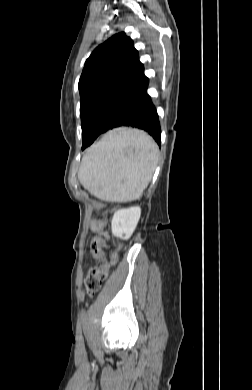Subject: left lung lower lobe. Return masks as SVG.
<instances>
[{
    "label": "left lung lower lobe",
    "mask_w": 252,
    "mask_h": 390,
    "mask_svg": "<svg viewBox=\"0 0 252 390\" xmlns=\"http://www.w3.org/2000/svg\"><path fill=\"white\" fill-rule=\"evenodd\" d=\"M148 83L135 93L115 116L94 119L82 132V150L90 146L94 140L108 129L116 127H135L148 132L157 142L161 143V129L156 107L147 94Z\"/></svg>",
    "instance_id": "obj_1"
}]
</instances>
